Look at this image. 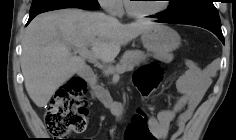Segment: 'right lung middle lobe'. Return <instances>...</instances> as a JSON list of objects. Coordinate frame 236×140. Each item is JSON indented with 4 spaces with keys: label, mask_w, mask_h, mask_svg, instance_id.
Masks as SVG:
<instances>
[{
    "label": "right lung middle lobe",
    "mask_w": 236,
    "mask_h": 140,
    "mask_svg": "<svg viewBox=\"0 0 236 140\" xmlns=\"http://www.w3.org/2000/svg\"><path fill=\"white\" fill-rule=\"evenodd\" d=\"M61 8H81L98 10L100 5L97 0H33L30 14L41 13Z\"/></svg>",
    "instance_id": "obj_1"
}]
</instances>
